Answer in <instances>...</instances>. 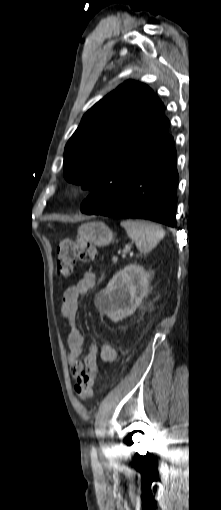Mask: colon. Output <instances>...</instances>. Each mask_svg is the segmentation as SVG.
Listing matches in <instances>:
<instances>
[{"mask_svg": "<svg viewBox=\"0 0 221 510\" xmlns=\"http://www.w3.org/2000/svg\"><path fill=\"white\" fill-rule=\"evenodd\" d=\"M97 256L96 248L86 240L61 241L57 247L56 270L61 277L68 278L76 263L90 262ZM95 380L96 375L93 373L82 371L78 374L74 389L81 400L92 397Z\"/></svg>", "mask_w": 221, "mask_h": 510, "instance_id": "colon-1", "label": "colon"}]
</instances>
